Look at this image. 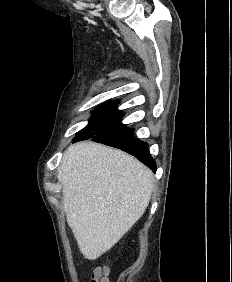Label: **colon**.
<instances>
[{"mask_svg": "<svg viewBox=\"0 0 232 282\" xmlns=\"http://www.w3.org/2000/svg\"><path fill=\"white\" fill-rule=\"evenodd\" d=\"M105 268H97L91 275L90 282H108Z\"/></svg>", "mask_w": 232, "mask_h": 282, "instance_id": "obj_1", "label": "colon"}]
</instances>
